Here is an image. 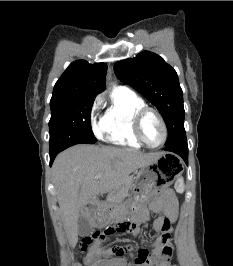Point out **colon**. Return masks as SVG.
Returning a JSON list of instances; mask_svg holds the SVG:
<instances>
[{
  "label": "colon",
  "mask_w": 233,
  "mask_h": 266,
  "mask_svg": "<svg viewBox=\"0 0 233 266\" xmlns=\"http://www.w3.org/2000/svg\"><path fill=\"white\" fill-rule=\"evenodd\" d=\"M167 225H168V221L167 219L164 218L163 226L166 227ZM135 229H136L135 223L127 222L126 225H118V228H107L103 231L96 232L92 236L86 237L82 240L81 249L85 251L94 244L102 243L106 240L108 236L112 235L115 232L127 233V232H133L135 231ZM127 251H128V248L123 247V246L113 247V253L116 256H122L125 253H127ZM136 258L140 260H144L146 256L138 254Z\"/></svg>",
  "instance_id": "colon-1"
}]
</instances>
